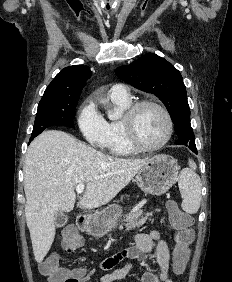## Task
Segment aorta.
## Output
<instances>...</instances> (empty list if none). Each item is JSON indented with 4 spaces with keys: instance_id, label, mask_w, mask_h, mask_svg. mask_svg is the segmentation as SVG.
<instances>
[{
    "instance_id": "762f6f07",
    "label": "aorta",
    "mask_w": 232,
    "mask_h": 282,
    "mask_svg": "<svg viewBox=\"0 0 232 282\" xmlns=\"http://www.w3.org/2000/svg\"><path fill=\"white\" fill-rule=\"evenodd\" d=\"M108 117H109L110 119H117L119 116H118V114L115 113V112H109V113H108Z\"/></svg>"
}]
</instances>
